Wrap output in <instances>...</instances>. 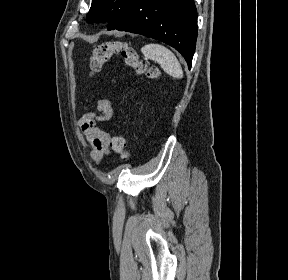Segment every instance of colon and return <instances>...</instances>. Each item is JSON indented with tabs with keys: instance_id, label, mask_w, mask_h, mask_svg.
Masks as SVG:
<instances>
[{
	"instance_id": "obj_1",
	"label": "colon",
	"mask_w": 288,
	"mask_h": 280,
	"mask_svg": "<svg viewBox=\"0 0 288 280\" xmlns=\"http://www.w3.org/2000/svg\"><path fill=\"white\" fill-rule=\"evenodd\" d=\"M113 56L121 57L124 63L138 74H144L150 79L158 76V69L151 66L145 59L140 58L135 48L123 41H107L98 45L89 58L90 74L99 73ZM110 146L122 159L127 160L129 158L130 154L123 136H114L110 141Z\"/></svg>"
}]
</instances>
